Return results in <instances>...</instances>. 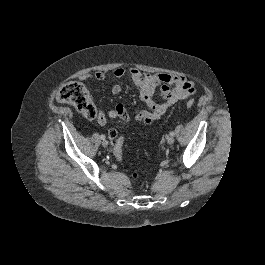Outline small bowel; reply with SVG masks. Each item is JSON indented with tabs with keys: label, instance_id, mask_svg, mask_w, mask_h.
<instances>
[{
	"label": "small bowel",
	"instance_id": "obj_1",
	"mask_svg": "<svg viewBox=\"0 0 265 265\" xmlns=\"http://www.w3.org/2000/svg\"><path fill=\"white\" fill-rule=\"evenodd\" d=\"M117 79H122L126 75L125 69L118 67L113 71ZM129 77L137 89L140 99L146 103L148 110H141L134 115H130L123 104L116 105L115 108L107 112V116L111 119H121L125 122H141L149 125L159 120L166 110L176 102L186 99L196 92L195 84L187 78L179 75L170 74H152L142 73L137 68H130ZM81 80L95 79L97 81H105L106 75L102 71L94 74H84L80 76ZM161 86L162 101H156L153 96L156 89ZM122 86L118 83L111 87L114 95L121 93ZM107 121L106 115L101 113L98 118L100 125H105ZM117 136L115 129L109 130V137Z\"/></svg>",
	"mask_w": 265,
	"mask_h": 265
}]
</instances>
